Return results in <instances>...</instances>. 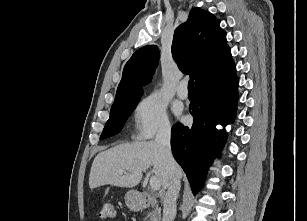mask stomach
<instances>
[{
	"label": "stomach",
	"instance_id": "obj_1",
	"mask_svg": "<svg viewBox=\"0 0 307 221\" xmlns=\"http://www.w3.org/2000/svg\"><path fill=\"white\" fill-rule=\"evenodd\" d=\"M134 195H135L134 191H129L125 196V201L129 208H136L139 206V202L137 199H135Z\"/></svg>",
	"mask_w": 307,
	"mask_h": 221
}]
</instances>
